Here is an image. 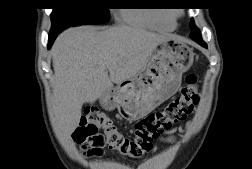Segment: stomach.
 <instances>
[{"label":"stomach","mask_w":252,"mask_h":169,"mask_svg":"<svg viewBox=\"0 0 252 169\" xmlns=\"http://www.w3.org/2000/svg\"><path fill=\"white\" fill-rule=\"evenodd\" d=\"M193 60L189 46L176 38H168L157 46L135 77L101 96L100 103L107 110L117 108L128 121L139 120L177 92L182 74Z\"/></svg>","instance_id":"stomach-1"}]
</instances>
